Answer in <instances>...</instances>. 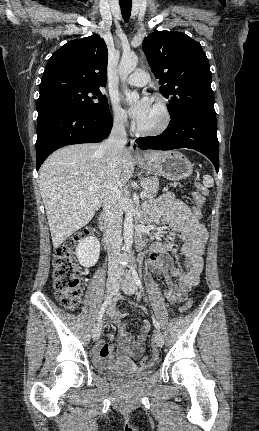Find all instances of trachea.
<instances>
[{
  "instance_id": "1",
  "label": "trachea",
  "mask_w": 259,
  "mask_h": 431,
  "mask_svg": "<svg viewBox=\"0 0 259 431\" xmlns=\"http://www.w3.org/2000/svg\"><path fill=\"white\" fill-rule=\"evenodd\" d=\"M121 14L123 19L127 22L131 15L132 0H119Z\"/></svg>"
}]
</instances>
